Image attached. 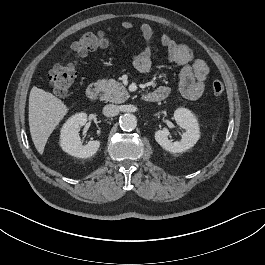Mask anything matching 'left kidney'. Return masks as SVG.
Instances as JSON below:
<instances>
[{"mask_svg": "<svg viewBox=\"0 0 265 265\" xmlns=\"http://www.w3.org/2000/svg\"><path fill=\"white\" fill-rule=\"evenodd\" d=\"M174 119L180 127L186 130L182 139L172 142L168 139L169 130L163 128L155 132V140L163 149L172 153H180L192 148L199 140V125L194 114L186 108L175 110Z\"/></svg>", "mask_w": 265, "mask_h": 265, "instance_id": "1", "label": "left kidney"}]
</instances>
